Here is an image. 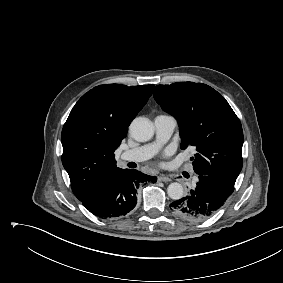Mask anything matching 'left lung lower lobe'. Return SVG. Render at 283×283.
Masks as SVG:
<instances>
[{"label": "left lung lower lobe", "instance_id": "obj_1", "mask_svg": "<svg viewBox=\"0 0 283 283\" xmlns=\"http://www.w3.org/2000/svg\"><path fill=\"white\" fill-rule=\"evenodd\" d=\"M196 187L190 193L170 204L179 218L203 221L213 216L234 191V184L215 176L199 175Z\"/></svg>", "mask_w": 283, "mask_h": 283}]
</instances>
